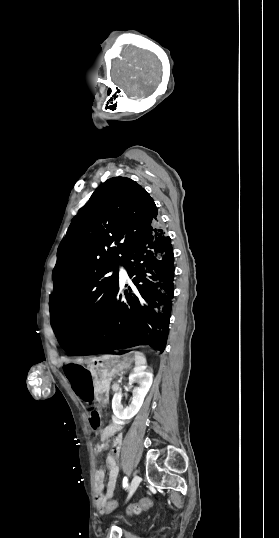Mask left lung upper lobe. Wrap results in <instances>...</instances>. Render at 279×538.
<instances>
[{
	"label": "left lung upper lobe",
	"mask_w": 279,
	"mask_h": 538,
	"mask_svg": "<svg viewBox=\"0 0 279 538\" xmlns=\"http://www.w3.org/2000/svg\"><path fill=\"white\" fill-rule=\"evenodd\" d=\"M156 220L153 199L129 178L108 179L92 194L58 247L50 302L56 337L97 328L119 287L118 264Z\"/></svg>",
	"instance_id": "1"
}]
</instances>
